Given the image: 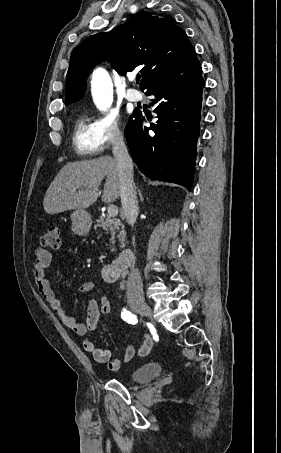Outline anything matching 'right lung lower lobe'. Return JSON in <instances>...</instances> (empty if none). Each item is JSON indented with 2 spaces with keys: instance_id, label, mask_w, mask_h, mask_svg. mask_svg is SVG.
Returning a JSON list of instances; mask_svg holds the SVG:
<instances>
[{
  "instance_id": "98d812e1",
  "label": "right lung lower lobe",
  "mask_w": 281,
  "mask_h": 453,
  "mask_svg": "<svg viewBox=\"0 0 281 453\" xmlns=\"http://www.w3.org/2000/svg\"><path fill=\"white\" fill-rule=\"evenodd\" d=\"M204 85L193 51L144 89L155 97L158 120L145 127V115L134 111L125 136L133 161L149 178L191 189Z\"/></svg>"
}]
</instances>
